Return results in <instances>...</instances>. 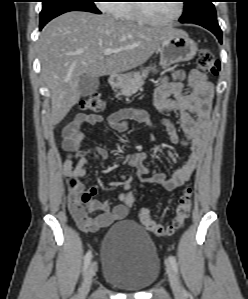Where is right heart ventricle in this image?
Returning a JSON list of instances; mask_svg holds the SVG:
<instances>
[{"instance_id": "e07e8e85", "label": "right heart ventricle", "mask_w": 248, "mask_h": 299, "mask_svg": "<svg viewBox=\"0 0 248 299\" xmlns=\"http://www.w3.org/2000/svg\"><path fill=\"white\" fill-rule=\"evenodd\" d=\"M115 15L128 23H138L140 21L135 12L134 5L131 3H119Z\"/></svg>"}]
</instances>
